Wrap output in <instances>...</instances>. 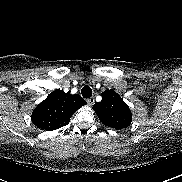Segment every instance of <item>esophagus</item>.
<instances>
[{
	"instance_id": "esophagus-1",
	"label": "esophagus",
	"mask_w": 182,
	"mask_h": 182,
	"mask_svg": "<svg viewBox=\"0 0 182 182\" xmlns=\"http://www.w3.org/2000/svg\"><path fill=\"white\" fill-rule=\"evenodd\" d=\"M87 103L92 106L95 103V98L94 97H90L87 99Z\"/></svg>"
}]
</instances>
